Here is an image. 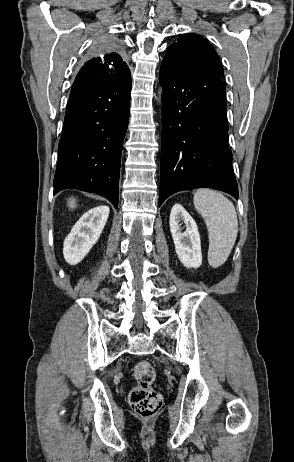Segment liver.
<instances>
[{"label":"liver","instance_id":"1","mask_svg":"<svg viewBox=\"0 0 294 462\" xmlns=\"http://www.w3.org/2000/svg\"><path fill=\"white\" fill-rule=\"evenodd\" d=\"M69 207L74 208L75 207V199L71 198L68 202Z\"/></svg>","mask_w":294,"mask_h":462}]
</instances>
